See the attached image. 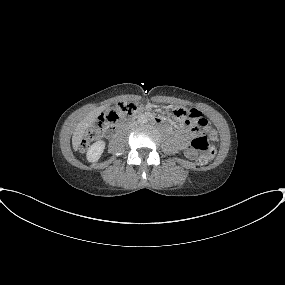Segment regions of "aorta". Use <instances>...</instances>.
Returning <instances> with one entry per match:
<instances>
[{
    "label": "aorta",
    "mask_w": 285,
    "mask_h": 285,
    "mask_svg": "<svg viewBox=\"0 0 285 285\" xmlns=\"http://www.w3.org/2000/svg\"><path fill=\"white\" fill-rule=\"evenodd\" d=\"M148 122V118H147V116L146 115H140L139 117H138V123H140V124H146Z\"/></svg>",
    "instance_id": "762f6f07"
}]
</instances>
